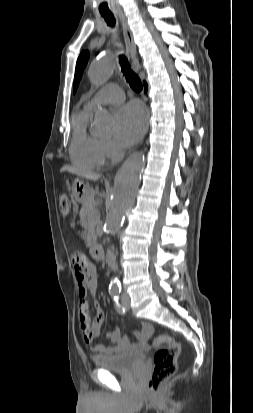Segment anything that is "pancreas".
<instances>
[{
  "label": "pancreas",
  "instance_id": "cf45deb5",
  "mask_svg": "<svg viewBox=\"0 0 253 413\" xmlns=\"http://www.w3.org/2000/svg\"><path fill=\"white\" fill-rule=\"evenodd\" d=\"M99 220V211L96 208L95 197L89 196V198L83 204L81 210V224L84 227L83 238L86 246L91 247L96 243L97 234L95 231V225Z\"/></svg>",
  "mask_w": 253,
  "mask_h": 413
}]
</instances>
